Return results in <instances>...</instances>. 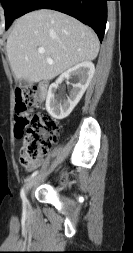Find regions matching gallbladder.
I'll return each mask as SVG.
<instances>
[{
	"label": "gallbladder",
	"mask_w": 133,
	"mask_h": 253,
	"mask_svg": "<svg viewBox=\"0 0 133 253\" xmlns=\"http://www.w3.org/2000/svg\"><path fill=\"white\" fill-rule=\"evenodd\" d=\"M28 81H26V80H24V79H21V80H19V84H20V86H22V87H25V86H27L28 85Z\"/></svg>",
	"instance_id": "bac80fb5"
}]
</instances>
